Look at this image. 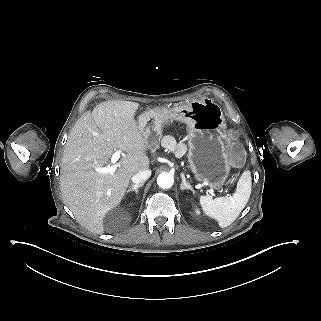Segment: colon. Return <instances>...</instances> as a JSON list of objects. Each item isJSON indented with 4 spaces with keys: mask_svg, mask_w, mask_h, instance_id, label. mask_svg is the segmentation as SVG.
I'll return each instance as SVG.
<instances>
[{
    "mask_svg": "<svg viewBox=\"0 0 321 321\" xmlns=\"http://www.w3.org/2000/svg\"><path fill=\"white\" fill-rule=\"evenodd\" d=\"M229 157L234 161L241 159V151L234 143L230 145Z\"/></svg>",
    "mask_w": 321,
    "mask_h": 321,
    "instance_id": "obj_1",
    "label": "colon"
}]
</instances>
